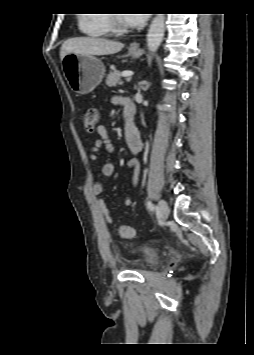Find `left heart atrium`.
Masks as SVG:
<instances>
[{
	"instance_id": "obj_1",
	"label": "left heart atrium",
	"mask_w": 254,
	"mask_h": 355,
	"mask_svg": "<svg viewBox=\"0 0 254 355\" xmlns=\"http://www.w3.org/2000/svg\"><path fill=\"white\" fill-rule=\"evenodd\" d=\"M148 15L145 13H127L124 16V22L132 27L143 26L147 21Z\"/></svg>"
}]
</instances>
